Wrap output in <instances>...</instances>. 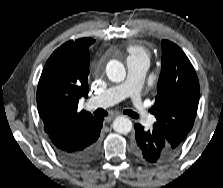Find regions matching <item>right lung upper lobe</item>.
<instances>
[{
	"label": "right lung upper lobe",
	"mask_w": 223,
	"mask_h": 188,
	"mask_svg": "<svg viewBox=\"0 0 223 188\" xmlns=\"http://www.w3.org/2000/svg\"><path fill=\"white\" fill-rule=\"evenodd\" d=\"M94 42L91 38L68 41L45 64L36 99L48 135L80 128L95 119L90 113L77 110L79 99L88 96V48Z\"/></svg>",
	"instance_id": "obj_1"
}]
</instances>
